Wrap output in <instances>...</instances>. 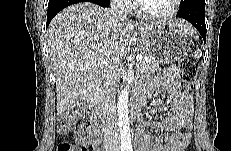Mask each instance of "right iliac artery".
Masks as SVG:
<instances>
[{"mask_svg":"<svg viewBox=\"0 0 231 151\" xmlns=\"http://www.w3.org/2000/svg\"><path fill=\"white\" fill-rule=\"evenodd\" d=\"M120 149H121V151H124V150L126 149V147L122 145V146L120 147Z\"/></svg>","mask_w":231,"mask_h":151,"instance_id":"right-iliac-artery-1","label":"right iliac artery"}]
</instances>
